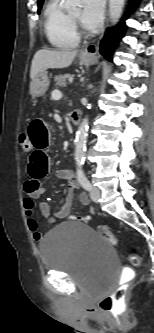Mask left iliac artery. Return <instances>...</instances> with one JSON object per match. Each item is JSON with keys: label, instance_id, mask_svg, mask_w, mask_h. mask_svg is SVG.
Instances as JSON below:
<instances>
[{"label": "left iliac artery", "instance_id": "left-iliac-artery-1", "mask_svg": "<svg viewBox=\"0 0 154 333\" xmlns=\"http://www.w3.org/2000/svg\"><path fill=\"white\" fill-rule=\"evenodd\" d=\"M77 178L81 186L86 190H91V184L89 180L87 179L84 170L82 168L77 169Z\"/></svg>", "mask_w": 154, "mask_h": 333}]
</instances>
